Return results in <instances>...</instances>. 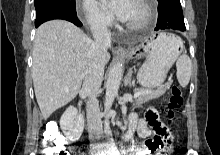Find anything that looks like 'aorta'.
Returning <instances> with one entry per match:
<instances>
[{
    "label": "aorta",
    "mask_w": 220,
    "mask_h": 155,
    "mask_svg": "<svg viewBox=\"0 0 220 155\" xmlns=\"http://www.w3.org/2000/svg\"><path fill=\"white\" fill-rule=\"evenodd\" d=\"M122 64L116 63L110 70L108 79L106 82V94H105V113H108L112 107L115 97L118 95V89L120 86L121 78H122ZM104 130L107 133H110V126L107 119L105 118L104 122Z\"/></svg>",
    "instance_id": "762f6f07"
}]
</instances>
